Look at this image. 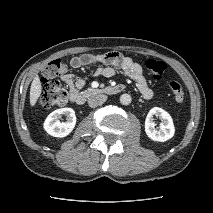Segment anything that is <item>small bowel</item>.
<instances>
[{
  "instance_id": "1",
  "label": "small bowel",
  "mask_w": 213,
  "mask_h": 213,
  "mask_svg": "<svg viewBox=\"0 0 213 213\" xmlns=\"http://www.w3.org/2000/svg\"><path fill=\"white\" fill-rule=\"evenodd\" d=\"M70 65L75 69L85 66H96L94 75L106 78L113 77L116 73V69H119L123 74L136 82L137 88L143 98L151 99L153 97V91L145 79L141 65L119 52L81 54L72 57ZM61 79L69 89L70 100L74 102L76 95L86 83L85 79L72 73L63 74Z\"/></svg>"
}]
</instances>
